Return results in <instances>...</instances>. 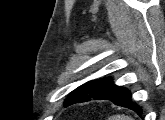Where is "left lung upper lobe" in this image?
Instances as JSON below:
<instances>
[{
	"mask_svg": "<svg viewBox=\"0 0 165 120\" xmlns=\"http://www.w3.org/2000/svg\"><path fill=\"white\" fill-rule=\"evenodd\" d=\"M118 88L119 86H116L110 78L89 81L72 91L65 100L64 106L90 101L92 98L102 100L114 93Z\"/></svg>",
	"mask_w": 165,
	"mask_h": 120,
	"instance_id": "left-lung-upper-lobe-1",
	"label": "left lung upper lobe"
}]
</instances>
